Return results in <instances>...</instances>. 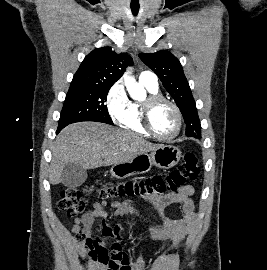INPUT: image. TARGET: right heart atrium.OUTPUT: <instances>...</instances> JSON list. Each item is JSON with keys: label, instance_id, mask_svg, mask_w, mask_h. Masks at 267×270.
Returning <instances> with one entry per match:
<instances>
[{"label": "right heart atrium", "instance_id": "right-heart-atrium-1", "mask_svg": "<svg viewBox=\"0 0 267 270\" xmlns=\"http://www.w3.org/2000/svg\"><path fill=\"white\" fill-rule=\"evenodd\" d=\"M105 104L112 121L119 123L126 116L130 100L122 81L115 82L109 88L106 94Z\"/></svg>", "mask_w": 267, "mask_h": 270}]
</instances>
